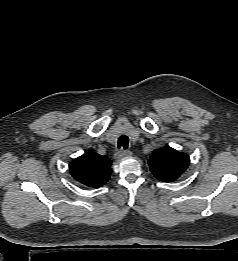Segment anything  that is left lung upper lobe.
<instances>
[{"label":"left lung upper lobe","mask_w":238,"mask_h":261,"mask_svg":"<svg viewBox=\"0 0 238 261\" xmlns=\"http://www.w3.org/2000/svg\"><path fill=\"white\" fill-rule=\"evenodd\" d=\"M189 156L177 150L166 147L155 150L148 164L154 176L164 182L176 180L188 167Z\"/></svg>","instance_id":"1"}]
</instances>
